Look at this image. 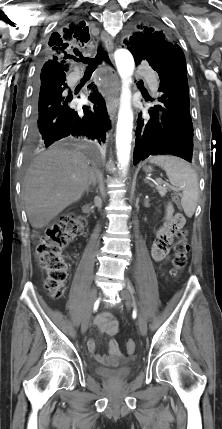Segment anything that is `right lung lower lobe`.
<instances>
[{
  "mask_svg": "<svg viewBox=\"0 0 222 429\" xmlns=\"http://www.w3.org/2000/svg\"><path fill=\"white\" fill-rule=\"evenodd\" d=\"M68 64L46 60L36 80L31 133L41 145L78 144L82 139L105 142L110 128L105 101L98 91L90 95L94 109L69 106L73 94L66 84ZM92 85V84H91ZM90 85V86H91Z\"/></svg>",
  "mask_w": 222,
  "mask_h": 429,
  "instance_id": "right-lung-lower-lobe-1",
  "label": "right lung lower lobe"
}]
</instances>
